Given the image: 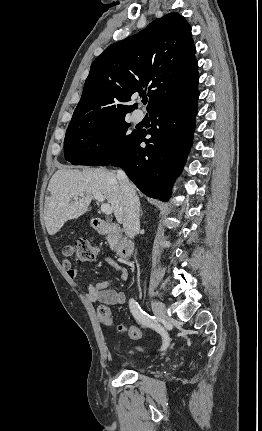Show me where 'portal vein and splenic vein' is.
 Masks as SVG:
<instances>
[{
    "label": "portal vein and splenic vein",
    "mask_w": 262,
    "mask_h": 431,
    "mask_svg": "<svg viewBox=\"0 0 262 431\" xmlns=\"http://www.w3.org/2000/svg\"><path fill=\"white\" fill-rule=\"evenodd\" d=\"M83 195H84L83 193L79 194V196H83ZM93 196L98 202L102 203L101 204V211L106 215H110L112 213L113 209L109 203H104V200H105L104 196L99 192L93 193Z\"/></svg>",
    "instance_id": "18ae733b"
}]
</instances>
